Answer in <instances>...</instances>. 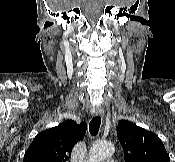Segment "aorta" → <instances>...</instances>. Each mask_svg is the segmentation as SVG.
Here are the masks:
<instances>
[{
    "label": "aorta",
    "mask_w": 175,
    "mask_h": 162,
    "mask_svg": "<svg viewBox=\"0 0 175 162\" xmlns=\"http://www.w3.org/2000/svg\"><path fill=\"white\" fill-rule=\"evenodd\" d=\"M114 153V146L110 142H95L89 152L88 162H100Z\"/></svg>",
    "instance_id": "obj_1"
}]
</instances>
